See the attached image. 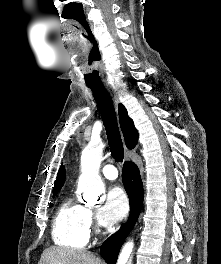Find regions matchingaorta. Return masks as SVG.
<instances>
[{
  "instance_id": "aorta-1",
  "label": "aorta",
  "mask_w": 221,
  "mask_h": 264,
  "mask_svg": "<svg viewBox=\"0 0 221 264\" xmlns=\"http://www.w3.org/2000/svg\"><path fill=\"white\" fill-rule=\"evenodd\" d=\"M104 145L89 144L81 155V175L78 189L83 193V198L88 203L94 204L99 196L104 193V184L99 176L100 163L103 156ZM133 242L129 241L123 247L117 264L132 263Z\"/></svg>"
}]
</instances>
